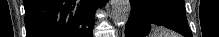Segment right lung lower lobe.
<instances>
[{"label":"right lung lower lobe","mask_w":219,"mask_h":37,"mask_svg":"<svg viewBox=\"0 0 219 37\" xmlns=\"http://www.w3.org/2000/svg\"><path fill=\"white\" fill-rule=\"evenodd\" d=\"M106 0H24L26 37H92Z\"/></svg>","instance_id":"right-lung-lower-lobe-1"}]
</instances>
